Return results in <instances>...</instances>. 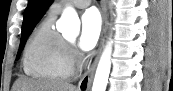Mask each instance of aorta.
Listing matches in <instances>:
<instances>
[{
  "mask_svg": "<svg viewBox=\"0 0 173 91\" xmlns=\"http://www.w3.org/2000/svg\"><path fill=\"white\" fill-rule=\"evenodd\" d=\"M114 2V0H112ZM57 29L61 32H67L70 35H78L80 31V20L76 11L71 8L67 7L57 24ZM111 54H112V41H109L105 47V50L100 58L93 86L92 91H105L106 86L108 83V77L111 68Z\"/></svg>",
  "mask_w": 173,
  "mask_h": 91,
  "instance_id": "1",
  "label": "aorta"
}]
</instances>
